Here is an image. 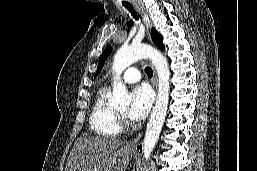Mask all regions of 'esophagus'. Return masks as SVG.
<instances>
[{"mask_svg":"<svg viewBox=\"0 0 257 171\" xmlns=\"http://www.w3.org/2000/svg\"><path fill=\"white\" fill-rule=\"evenodd\" d=\"M134 6L136 8V10L139 12V14L142 16L144 23L146 24L147 30L149 31L151 28V24L149 21V18L147 16V14L145 13L143 7L141 6L140 3L135 2ZM153 86L155 87V89H157V75L156 72L154 70V76H153ZM142 137V133H139L134 140L130 141L129 143H127V145L125 146L126 150H130V151H134L137 147L138 142L140 141Z\"/></svg>","mask_w":257,"mask_h":171,"instance_id":"1","label":"esophagus"}]
</instances>
